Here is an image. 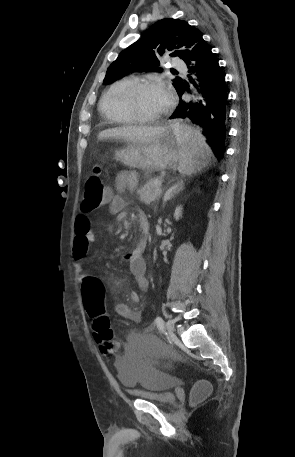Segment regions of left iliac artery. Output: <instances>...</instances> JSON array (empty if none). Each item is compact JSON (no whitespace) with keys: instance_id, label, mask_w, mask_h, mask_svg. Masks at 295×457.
Segmentation results:
<instances>
[{"instance_id":"1","label":"left iliac artery","mask_w":295,"mask_h":457,"mask_svg":"<svg viewBox=\"0 0 295 457\" xmlns=\"http://www.w3.org/2000/svg\"><path fill=\"white\" fill-rule=\"evenodd\" d=\"M155 323L160 331L164 330V321L160 316L156 317Z\"/></svg>"}]
</instances>
